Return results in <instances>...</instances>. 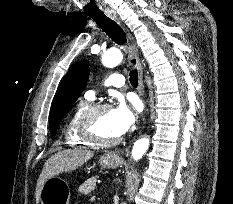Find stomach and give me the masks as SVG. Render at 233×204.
Wrapping results in <instances>:
<instances>
[{
    "instance_id": "0dacf381",
    "label": "stomach",
    "mask_w": 233,
    "mask_h": 204,
    "mask_svg": "<svg viewBox=\"0 0 233 204\" xmlns=\"http://www.w3.org/2000/svg\"><path fill=\"white\" fill-rule=\"evenodd\" d=\"M99 163L104 168L115 169L120 165L121 159L109 153L100 157ZM69 198L70 189L67 182L52 177L42 187L39 204H68Z\"/></svg>"
}]
</instances>
